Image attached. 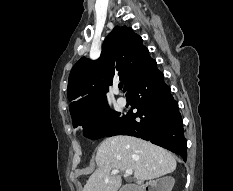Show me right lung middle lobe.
I'll use <instances>...</instances> for the list:
<instances>
[{
    "label": "right lung middle lobe",
    "instance_id": "obj_1",
    "mask_svg": "<svg viewBox=\"0 0 233 191\" xmlns=\"http://www.w3.org/2000/svg\"><path fill=\"white\" fill-rule=\"evenodd\" d=\"M121 119V113L110 110L104 103L72 117V122L74 128L82 126L85 137L98 139L106 136Z\"/></svg>",
    "mask_w": 233,
    "mask_h": 191
}]
</instances>
